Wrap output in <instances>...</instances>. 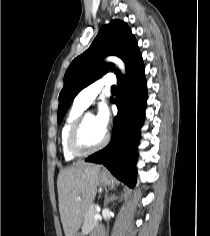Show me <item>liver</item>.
<instances>
[{"label":"liver","mask_w":210,"mask_h":236,"mask_svg":"<svg viewBox=\"0 0 210 236\" xmlns=\"http://www.w3.org/2000/svg\"><path fill=\"white\" fill-rule=\"evenodd\" d=\"M101 166L79 161L59 172L60 218L65 236H75L95 199Z\"/></svg>","instance_id":"6515ba94"}]
</instances>
